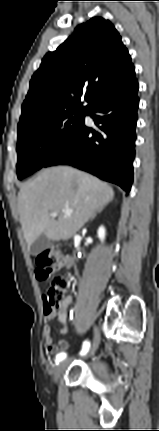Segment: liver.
Listing matches in <instances>:
<instances>
[{"label": "liver", "instance_id": "6515ba94", "mask_svg": "<svg viewBox=\"0 0 159 431\" xmlns=\"http://www.w3.org/2000/svg\"><path fill=\"white\" fill-rule=\"evenodd\" d=\"M114 197L98 178L67 166L51 167L26 182L18 193V212L27 245L42 234L49 240H69L96 211ZM73 212L66 215L64 210ZM50 212H57L58 218Z\"/></svg>", "mask_w": 159, "mask_h": 431}]
</instances>
